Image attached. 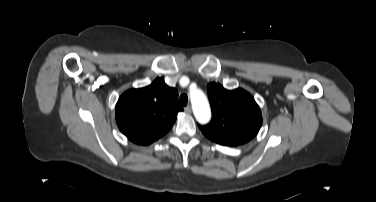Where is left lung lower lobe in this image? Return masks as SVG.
I'll list each match as a JSON object with an SVG mask.
<instances>
[{"label":"left lung lower lobe","mask_w":376,"mask_h":202,"mask_svg":"<svg viewBox=\"0 0 376 202\" xmlns=\"http://www.w3.org/2000/svg\"><path fill=\"white\" fill-rule=\"evenodd\" d=\"M201 131H202V133H203L207 138H209V139L215 141L214 138H213V136L209 135L207 132H205V131H203V130H201ZM215 142H217V141H215ZM219 144H221V145H225V146H236V145H237V144H224V143H219Z\"/></svg>","instance_id":"obj_1"}]
</instances>
